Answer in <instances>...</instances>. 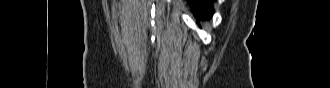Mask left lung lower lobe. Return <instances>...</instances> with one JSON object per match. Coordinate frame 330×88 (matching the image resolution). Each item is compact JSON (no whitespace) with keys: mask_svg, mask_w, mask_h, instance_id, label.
Masks as SVG:
<instances>
[{"mask_svg":"<svg viewBox=\"0 0 330 88\" xmlns=\"http://www.w3.org/2000/svg\"><path fill=\"white\" fill-rule=\"evenodd\" d=\"M214 1L215 0H188V3L197 18L209 19L214 12Z\"/></svg>","mask_w":330,"mask_h":88,"instance_id":"left-lung-lower-lobe-1","label":"left lung lower lobe"}]
</instances>
